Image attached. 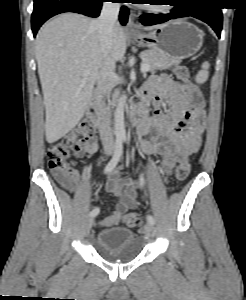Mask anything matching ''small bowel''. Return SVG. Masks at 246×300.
Listing matches in <instances>:
<instances>
[{
  "mask_svg": "<svg viewBox=\"0 0 246 300\" xmlns=\"http://www.w3.org/2000/svg\"><path fill=\"white\" fill-rule=\"evenodd\" d=\"M142 100L148 107L154 106L137 129L141 149L147 155L160 156V171L163 176H169L178 162L187 159L201 146L206 118L203 107L195 108L187 89L166 74L149 80ZM164 104L168 105V110L163 108ZM98 149V142L92 141L85 152L92 154ZM57 178L65 189L75 193L80 191L77 177ZM105 190L119 201L111 215L97 222L100 228L117 225L123 214L136 206L138 182L114 172L106 182Z\"/></svg>",
  "mask_w": 246,
  "mask_h": 300,
  "instance_id": "1",
  "label": "small bowel"
}]
</instances>
